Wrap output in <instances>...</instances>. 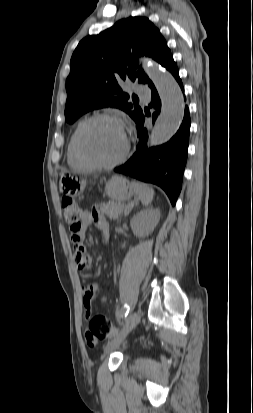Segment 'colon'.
<instances>
[{
  "instance_id": "colon-1",
  "label": "colon",
  "mask_w": 253,
  "mask_h": 413,
  "mask_svg": "<svg viewBox=\"0 0 253 413\" xmlns=\"http://www.w3.org/2000/svg\"><path fill=\"white\" fill-rule=\"evenodd\" d=\"M62 208L64 218L71 228H76L80 222L81 209L77 202L71 197L62 198ZM117 334V329L103 315H95L91 317L86 332V339L93 343L97 340L109 339Z\"/></svg>"
}]
</instances>
